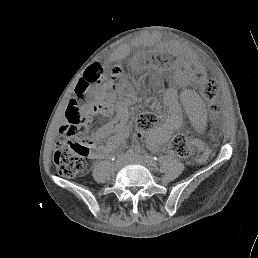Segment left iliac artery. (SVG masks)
<instances>
[{"label": "left iliac artery", "instance_id": "44dca946", "mask_svg": "<svg viewBox=\"0 0 258 258\" xmlns=\"http://www.w3.org/2000/svg\"><path fill=\"white\" fill-rule=\"evenodd\" d=\"M149 158H150V157L146 156V158H145V159H146V162H150V159H149ZM155 160L158 161L159 159L155 158Z\"/></svg>", "mask_w": 258, "mask_h": 258}]
</instances>
